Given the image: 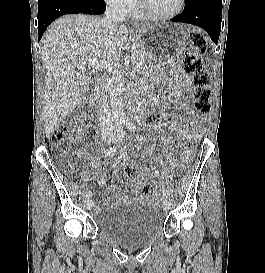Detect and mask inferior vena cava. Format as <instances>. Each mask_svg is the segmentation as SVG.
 I'll use <instances>...</instances> for the list:
<instances>
[{
    "label": "inferior vena cava",
    "instance_id": "obj_1",
    "mask_svg": "<svg viewBox=\"0 0 265 273\" xmlns=\"http://www.w3.org/2000/svg\"><path fill=\"white\" fill-rule=\"evenodd\" d=\"M125 20V14L119 3L112 2L105 11V17L101 20L102 25L110 31H113L120 22ZM108 87L103 89V97L99 106V125L102 135H110L115 132V123L111 114Z\"/></svg>",
    "mask_w": 265,
    "mask_h": 273
}]
</instances>
